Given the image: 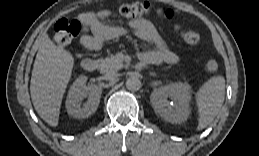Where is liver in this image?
Segmentation results:
<instances>
[{
  "label": "liver",
  "mask_w": 259,
  "mask_h": 156,
  "mask_svg": "<svg viewBox=\"0 0 259 156\" xmlns=\"http://www.w3.org/2000/svg\"><path fill=\"white\" fill-rule=\"evenodd\" d=\"M74 58L72 54L44 34L33 65L30 93L39 116L50 126L59 122L63 95L70 81Z\"/></svg>",
  "instance_id": "liver-1"
}]
</instances>
